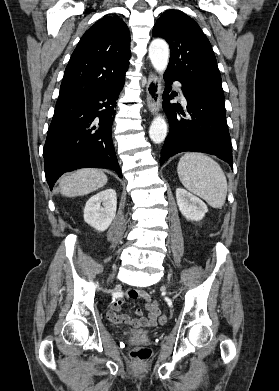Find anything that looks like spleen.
I'll return each instance as SVG.
<instances>
[{
  "instance_id": "1",
  "label": "spleen",
  "mask_w": 279,
  "mask_h": 391,
  "mask_svg": "<svg viewBox=\"0 0 279 391\" xmlns=\"http://www.w3.org/2000/svg\"><path fill=\"white\" fill-rule=\"evenodd\" d=\"M178 177L190 192L211 207L222 208L227 195V180L220 165L202 153H186L178 163Z\"/></svg>"
}]
</instances>
